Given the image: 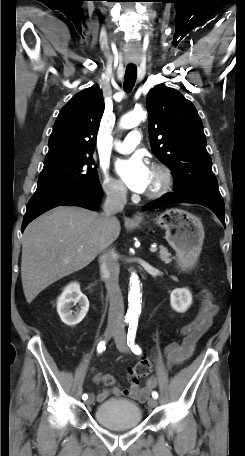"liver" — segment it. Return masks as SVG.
Returning a JSON list of instances; mask_svg holds the SVG:
<instances>
[{"label":"liver","mask_w":245,"mask_h":456,"mask_svg":"<svg viewBox=\"0 0 245 456\" xmlns=\"http://www.w3.org/2000/svg\"><path fill=\"white\" fill-rule=\"evenodd\" d=\"M118 219L109 229L101 215L79 207L60 206L32 221L22 241L21 280L28 303L59 279L89 265L120 234Z\"/></svg>","instance_id":"liver-1"}]
</instances>
